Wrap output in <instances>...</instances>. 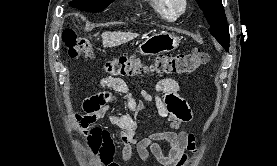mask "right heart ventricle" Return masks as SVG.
I'll return each instance as SVG.
<instances>
[{"label":"right heart ventricle","mask_w":277,"mask_h":166,"mask_svg":"<svg viewBox=\"0 0 277 166\" xmlns=\"http://www.w3.org/2000/svg\"><path fill=\"white\" fill-rule=\"evenodd\" d=\"M151 5L156 13L166 20H173L176 14L171 10L168 0H151Z\"/></svg>","instance_id":"obj_1"}]
</instances>
